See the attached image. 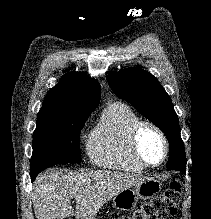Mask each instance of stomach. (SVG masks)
Masks as SVG:
<instances>
[{
  "label": "stomach",
  "mask_w": 211,
  "mask_h": 219,
  "mask_svg": "<svg viewBox=\"0 0 211 219\" xmlns=\"http://www.w3.org/2000/svg\"><path fill=\"white\" fill-rule=\"evenodd\" d=\"M161 190V184L154 178L119 192L112 198V207L116 210H129L136 206L139 199H149Z\"/></svg>",
  "instance_id": "stomach-1"
}]
</instances>
